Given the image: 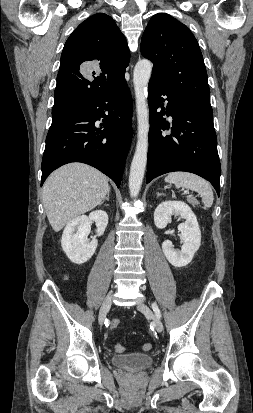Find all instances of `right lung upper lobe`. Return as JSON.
Listing matches in <instances>:
<instances>
[{
    "label": "right lung upper lobe",
    "mask_w": 253,
    "mask_h": 413,
    "mask_svg": "<svg viewBox=\"0 0 253 413\" xmlns=\"http://www.w3.org/2000/svg\"><path fill=\"white\" fill-rule=\"evenodd\" d=\"M130 53L115 21L104 13L82 22L67 39L61 55L52 117L67 113L125 80ZM84 62L95 71L83 77Z\"/></svg>",
    "instance_id": "right-lung-upper-lobe-1"
}]
</instances>
